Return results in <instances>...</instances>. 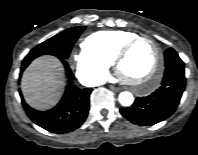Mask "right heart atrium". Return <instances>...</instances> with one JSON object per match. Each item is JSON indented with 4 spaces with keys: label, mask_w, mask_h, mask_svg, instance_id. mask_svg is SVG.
I'll return each mask as SVG.
<instances>
[{
    "label": "right heart atrium",
    "mask_w": 198,
    "mask_h": 155,
    "mask_svg": "<svg viewBox=\"0 0 198 155\" xmlns=\"http://www.w3.org/2000/svg\"><path fill=\"white\" fill-rule=\"evenodd\" d=\"M71 58L76 75L82 81L95 84L106 78L109 64L84 48L73 52Z\"/></svg>",
    "instance_id": "right-heart-atrium-1"
}]
</instances>
